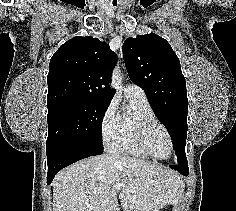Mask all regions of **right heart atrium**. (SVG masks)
Here are the masks:
<instances>
[{
	"instance_id": "1",
	"label": "right heart atrium",
	"mask_w": 236,
	"mask_h": 211,
	"mask_svg": "<svg viewBox=\"0 0 236 211\" xmlns=\"http://www.w3.org/2000/svg\"><path fill=\"white\" fill-rule=\"evenodd\" d=\"M119 115L113 102L109 103L100 119V134L105 147H110L118 129Z\"/></svg>"
}]
</instances>
